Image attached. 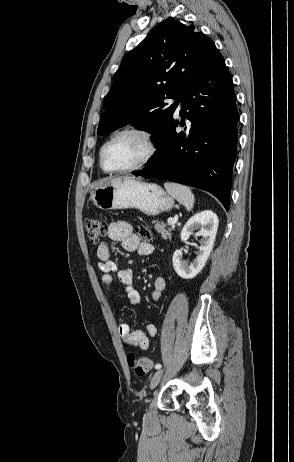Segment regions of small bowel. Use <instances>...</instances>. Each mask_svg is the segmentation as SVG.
Segmentation results:
<instances>
[{"mask_svg": "<svg viewBox=\"0 0 294 462\" xmlns=\"http://www.w3.org/2000/svg\"><path fill=\"white\" fill-rule=\"evenodd\" d=\"M108 237L121 244V247L129 252L136 251L139 255L148 256L153 253L154 247L150 243L141 242L133 233L131 224L126 221L112 222L108 226ZM98 267L103 273L101 283L104 287H111L114 284L113 273L126 293L129 303L132 305L140 302V294L134 287V273L130 268H119L111 259L110 247L108 244H100L97 248ZM166 287V280L162 276L154 279L151 299L154 302L160 301ZM118 333L122 341L130 346L147 350L150 345V338L157 334L155 324L149 323L143 329H132L129 324L121 322L118 325Z\"/></svg>", "mask_w": 294, "mask_h": 462, "instance_id": "small-bowel-1", "label": "small bowel"}]
</instances>
